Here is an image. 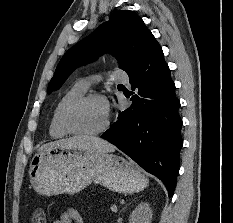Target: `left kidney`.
Returning <instances> with one entry per match:
<instances>
[{
    "mask_svg": "<svg viewBox=\"0 0 233 223\" xmlns=\"http://www.w3.org/2000/svg\"><path fill=\"white\" fill-rule=\"evenodd\" d=\"M152 209L148 201H141L129 215L130 223H151Z\"/></svg>",
    "mask_w": 233,
    "mask_h": 223,
    "instance_id": "left-kidney-1",
    "label": "left kidney"
}]
</instances>
